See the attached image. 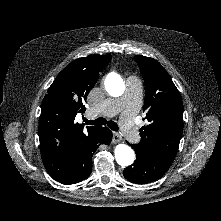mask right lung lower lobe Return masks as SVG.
Listing matches in <instances>:
<instances>
[{
    "label": "right lung lower lobe",
    "instance_id": "1",
    "mask_svg": "<svg viewBox=\"0 0 221 221\" xmlns=\"http://www.w3.org/2000/svg\"><path fill=\"white\" fill-rule=\"evenodd\" d=\"M112 140V132L105 127L90 135L77 149L67 174L58 180L60 183L69 185L86 179L92 172V156L101 144H109Z\"/></svg>",
    "mask_w": 221,
    "mask_h": 221
}]
</instances>
